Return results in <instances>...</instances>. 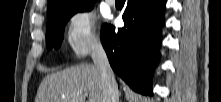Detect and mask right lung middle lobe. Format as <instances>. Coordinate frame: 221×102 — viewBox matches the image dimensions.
Returning <instances> with one entry per match:
<instances>
[{"instance_id": "obj_1", "label": "right lung middle lobe", "mask_w": 221, "mask_h": 102, "mask_svg": "<svg viewBox=\"0 0 221 102\" xmlns=\"http://www.w3.org/2000/svg\"><path fill=\"white\" fill-rule=\"evenodd\" d=\"M95 2L85 4L80 7L68 8L59 11L47 22L46 44L50 50L53 47L58 49L61 45L64 36V29L67 21L77 12L89 11L93 8Z\"/></svg>"}]
</instances>
